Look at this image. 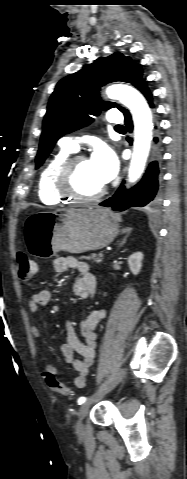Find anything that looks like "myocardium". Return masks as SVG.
Returning a JSON list of instances; mask_svg holds the SVG:
<instances>
[{
	"label": "myocardium",
	"mask_w": 187,
	"mask_h": 479,
	"mask_svg": "<svg viewBox=\"0 0 187 479\" xmlns=\"http://www.w3.org/2000/svg\"><path fill=\"white\" fill-rule=\"evenodd\" d=\"M88 159L84 154H75L69 156L61 165L56 176V190L57 192L66 197L68 200L77 203H91L99 200L106 193V186H103L95 194L90 196H84L77 192L74 187V175L78 164Z\"/></svg>",
	"instance_id": "obj_1"
}]
</instances>
